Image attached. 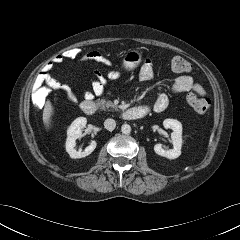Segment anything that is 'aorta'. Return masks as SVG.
<instances>
[{"mask_svg": "<svg viewBox=\"0 0 240 240\" xmlns=\"http://www.w3.org/2000/svg\"><path fill=\"white\" fill-rule=\"evenodd\" d=\"M121 131L123 134H129L131 132V126L128 124H123L121 127Z\"/></svg>", "mask_w": 240, "mask_h": 240, "instance_id": "1", "label": "aorta"}]
</instances>
